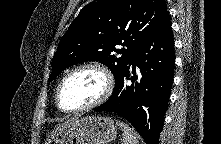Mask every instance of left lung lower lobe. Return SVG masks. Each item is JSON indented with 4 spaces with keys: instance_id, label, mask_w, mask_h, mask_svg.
Here are the masks:
<instances>
[{
    "instance_id": "0a47b994",
    "label": "left lung lower lobe",
    "mask_w": 221,
    "mask_h": 144,
    "mask_svg": "<svg viewBox=\"0 0 221 144\" xmlns=\"http://www.w3.org/2000/svg\"><path fill=\"white\" fill-rule=\"evenodd\" d=\"M174 64V39L166 13L154 33L120 71L110 98L94 110L123 116L146 144H158L170 97ZM130 73L134 75L130 77Z\"/></svg>"
}]
</instances>
